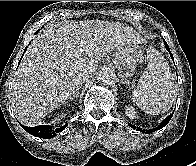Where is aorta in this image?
Instances as JSON below:
<instances>
[{"label": "aorta", "mask_w": 196, "mask_h": 166, "mask_svg": "<svg viewBox=\"0 0 196 166\" xmlns=\"http://www.w3.org/2000/svg\"><path fill=\"white\" fill-rule=\"evenodd\" d=\"M114 79L115 74L109 69L102 70L97 77L98 82L102 85H111Z\"/></svg>", "instance_id": "762f6f07"}]
</instances>
